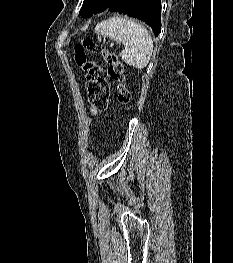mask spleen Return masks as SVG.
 Instances as JSON below:
<instances>
[{"mask_svg":"<svg viewBox=\"0 0 233 263\" xmlns=\"http://www.w3.org/2000/svg\"><path fill=\"white\" fill-rule=\"evenodd\" d=\"M94 31L123 44L120 57L127 65L137 69L148 65L153 52V41L142 24L126 16H115L98 23Z\"/></svg>","mask_w":233,"mask_h":263,"instance_id":"obj_1","label":"spleen"}]
</instances>
